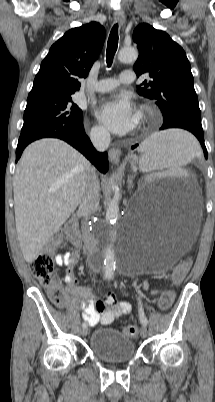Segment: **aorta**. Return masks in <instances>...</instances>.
<instances>
[{
	"label": "aorta",
	"instance_id": "762f6f07",
	"mask_svg": "<svg viewBox=\"0 0 215 402\" xmlns=\"http://www.w3.org/2000/svg\"><path fill=\"white\" fill-rule=\"evenodd\" d=\"M138 58L137 49L130 48H122L118 54V60L122 63H132L135 62ZM111 189L113 192L118 191V186L111 181ZM119 217V204L116 198L110 200L107 211H106V219L109 223H114ZM97 256L104 263L105 269V277L112 278L114 275L116 263L118 260L117 248L114 245L113 234L110 229H105L102 231V239L98 244Z\"/></svg>",
	"mask_w": 215,
	"mask_h": 402
}]
</instances>
